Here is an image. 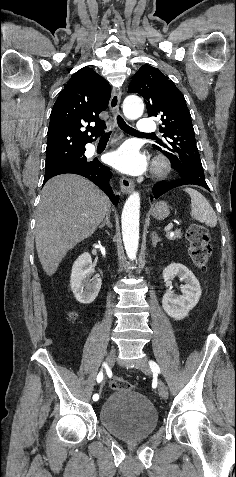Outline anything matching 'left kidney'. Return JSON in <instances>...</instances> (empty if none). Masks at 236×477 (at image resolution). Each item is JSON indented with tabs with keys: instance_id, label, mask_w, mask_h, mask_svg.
Instances as JSON below:
<instances>
[{
	"instance_id": "left-kidney-1",
	"label": "left kidney",
	"mask_w": 236,
	"mask_h": 477,
	"mask_svg": "<svg viewBox=\"0 0 236 477\" xmlns=\"http://www.w3.org/2000/svg\"><path fill=\"white\" fill-rule=\"evenodd\" d=\"M162 275L167 288L162 299L163 309L170 317L181 320L188 316L189 311L199 302L202 292L199 281L186 266L177 263L167 266ZM175 275L185 282L181 287L182 295H176L171 290V279Z\"/></svg>"
}]
</instances>
